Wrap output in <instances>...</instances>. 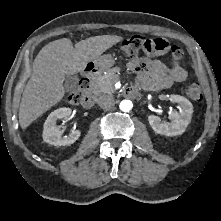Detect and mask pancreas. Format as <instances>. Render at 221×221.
<instances>
[{"label": "pancreas", "instance_id": "1", "mask_svg": "<svg viewBox=\"0 0 221 221\" xmlns=\"http://www.w3.org/2000/svg\"><path fill=\"white\" fill-rule=\"evenodd\" d=\"M119 71V68H112L107 71L106 74H99L91 84V90L95 95L104 93L112 94L115 92L114 83L118 79L115 74Z\"/></svg>", "mask_w": 221, "mask_h": 221}]
</instances>
